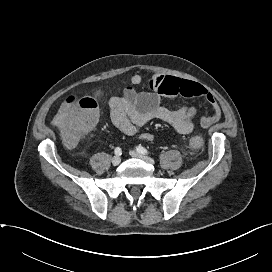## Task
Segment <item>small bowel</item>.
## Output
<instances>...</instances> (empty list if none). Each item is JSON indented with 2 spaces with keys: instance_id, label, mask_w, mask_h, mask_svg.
Returning <instances> with one entry per match:
<instances>
[{
  "instance_id": "obj_1",
  "label": "small bowel",
  "mask_w": 272,
  "mask_h": 272,
  "mask_svg": "<svg viewBox=\"0 0 272 272\" xmlns=\"http://www.w3.org/2000/svg\"><path fill=\"white\" fill-rule=\"evenodd\" d=\"M144 81L147 82L150 91L137 92L135 87ZM177 96L202 98L210 105L213 113L201 117L200 123L203 127L215 123L221 115L220 107L214 96L196 82L161 74H152L148 77L134 74L125 84L123 95L110 99L111 120L126 135H134L139 127L152 120L166 122L180 134H190L194 129L196 108L182 106L178 109H170L161 102L162 97ZM141 138L150 141L152 135L146 133Z\"/></svg>"
}]
</instances>
